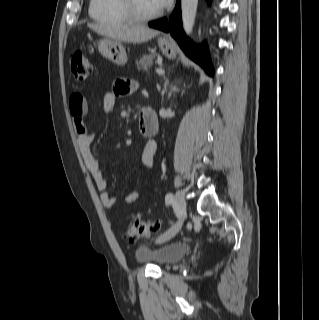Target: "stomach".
<instances>
[{
	"instance_id": "obj_1",
	"label": "stomach",
	"mask_w": 319,
	"mask_h": 320,
	"mask_svg": "<svg viewBox=\"0 0 319 320\" xmlns=\"http://www.w3.org/2000/svg\"><path fill=\"white\" fill-rule=\"evenodd\" d=\"M158 45L164 56L169 59L175 58L176 47L171 38L160 37ZM97 47L103 57L117 65H125L128 61L125 48L119 40L105 37L97 42Z\"/></svg>"
}]
</instances>
